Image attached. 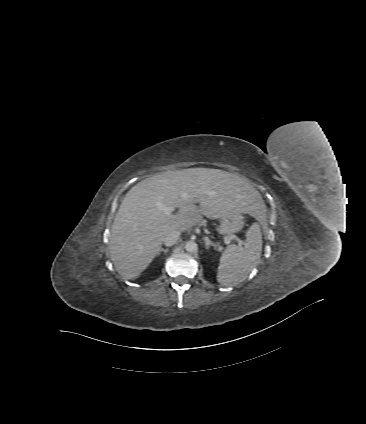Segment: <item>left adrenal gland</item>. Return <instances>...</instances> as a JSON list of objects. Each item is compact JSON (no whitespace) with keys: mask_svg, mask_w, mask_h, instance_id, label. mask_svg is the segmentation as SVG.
<instances>
[{"mask_svg":"<svg viewBox=\"0 0 366 424\" xmlns=\"http://www.w3.org/2000/svg\"><path fill=\"white\" fill-rule=\"evenodd\" d=\"M206 250H209L210 246H213L216 249V245L207 237H204Z\"/></svg>","mask_w":366,"mask_h":424,"instance_id":"1","label":"left adrenal gland"}]
</instances>
